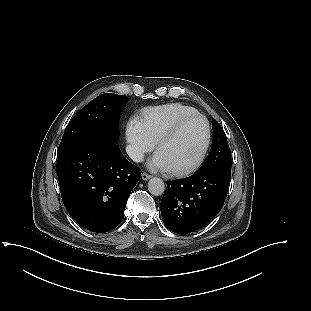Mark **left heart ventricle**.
<instances>
[{
  "instance_id": "left-heart-ventricle-1",
  "label": "left heart ventricle",
  "mask_w": 311,
  "mask_h": 311,
  "mask_svg": "<svg viewBox=\"0 0 311 311\" xmlns=\"http://www.w3.org/2000/svg\"><path fill=\"white\" fill-rule=\"evenodd\" d=\"M206 138L205 123L200 118L186 122L174 138L162 144L158 152L169 169L192 163L200 154Z\"/></svg>"
}]
</instances>
